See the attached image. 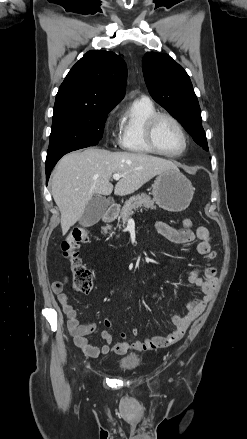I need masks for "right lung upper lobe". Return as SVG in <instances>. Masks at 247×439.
Returning <instances> with one entry per match:
<instances>
[{
  "label": "right lung upper lobe",
  "mask_w": 247,
  "mask_h": 439,
  "mask_svg": "<svg viewBox=\"0 0 247 439\" xmlns=\"http://www.w3.org/2000/svg\"><path fill=\"white\" fill-rule=\"evenodd\" d=\"M127 67L111 51H88L69 71L54 107L114 108L124 97Z\"/></svg>",
  "instance_id": "right-lung-upper-lobe-1"
}]
</instances>
